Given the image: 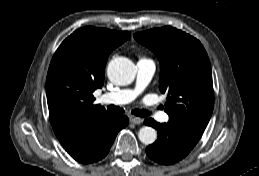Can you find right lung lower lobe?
I'll list each match as a JSON object with an SVG mask.
<instances>
[{
    "label": "right lung lower lobe",
    "instance_id": "obj_1",
    "mask_svg": "<svg viewBox=\"0 0 259 176\" xmlns=\"http://www.w3.org/2000/svg\"><path fill=\"white\" fill-rule=\"evenodd\" d=\"M128 118L122 114H110L99 128L77 148L67 150L68 154L81 163H94L109 152L117 133L128 125Z\"/></svg>",
    "mask_w": 259,
    "mask_h": 176
}]
</instances>
